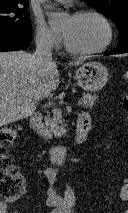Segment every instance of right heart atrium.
Returning a JSON list of instances; mask_svg holds the SVG:
<instances>
[{
  "label": "right heart atrium",
  "mask_w": 128,
  "mask_h": 213,
  "mask_svg": "<svg viewBox=\"0 0 128 213\" xmlns=\"http://www.w3.org/2000/svg\"><path fill=\"white\" fill-rule=\"evenodd\" d=\"M35 40L39 46L49 49L57 48L61 44L60 35L46 27L39 19L35 21Z\"/></svg>",
  "instance_id": "d8ad5b80"
}]
</instances>
